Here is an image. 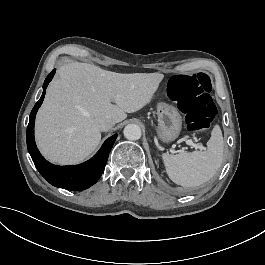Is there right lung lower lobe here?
Returning a JSON list of instances; mask_svg holds the SVG:
<instances>
[{
    "label": "right lung lower lobe",
    "instance_id": "obj_1",
    "mask_svg": "<svg viewBox=\"0 0 265 265\" xmlns=\"http://www.w3.org/2000/svg\"><path fill=\"white\" fill-rule=\"evenodd\" d=\"M54 74L55 69L46 77L43 84L42 96L31 111L26 134L27 148L37 170L50 184L72 191L85 190L95 184L102 175L117 134L108 138L98 153L83 164L62 167L46 161L38 151L34 141V122L37 110L45 97L46 88Z\"/></svg>",
    "mask_w": 265,
    "mask_h": 265
}]
</instances>
